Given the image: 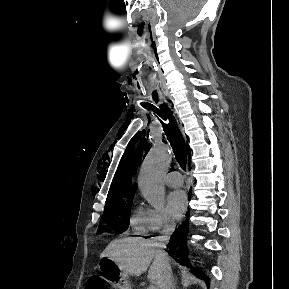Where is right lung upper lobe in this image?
Segmentation results:
<instances>
[{"label": "right lung upper lobe", "instance_id": "right-lung-upper-lobe-1", "mask_svg": "<svg viewBox=\"0 0 289 289\" xmlns=\"http://www.w3.org/2000/svg\"><path fill=\"white\" fill-rule=\"evenodd\" d=\"M136 152H135V155H136ZM134 157L129 156L126 159L125 166L127 165V161L129 159H130V162L128 163V167L126 169L124 166V168L122 169V172H124V169H125V173L124 174L122 173L120 176H118V170L120 169L121 164L119 165V168L116 172V176L118 177V179L116 181V185H112V188L109 190L107 200H106L107 203L109 202L119 203V202H123L124 200L133 198V194L136 190V185L135 184L131 185L132 170L129 171V166L132 163L131 158H134ZM123 158H126L125 154L123 155Z\"/></svg>", "mask_w": 289, "mask_h": 289}]
</instances>
